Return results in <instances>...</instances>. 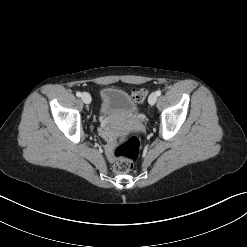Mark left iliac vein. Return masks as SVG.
<instances>
[{
  "label": "left iliac vein",
  "mask_w": 247,
  "mask_h": 247,
  "mask_svg": "<svg viewBox=\"0 0 247 247\" xmlns=\"http://www.w3.org/2000/svg\"><path fill=\"white\" fill-rule=\"evenodd\" d=\"M157 101V95L156 93H151L149 98H148V102L150 105H154Z\"/></svg>",
  "instance_id": "obj_1"
}]
</instances>
